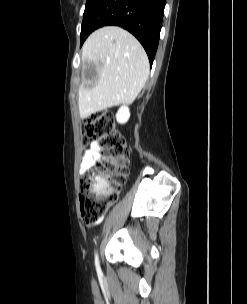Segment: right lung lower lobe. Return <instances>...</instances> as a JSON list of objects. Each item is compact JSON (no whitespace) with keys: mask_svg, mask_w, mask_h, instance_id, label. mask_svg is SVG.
<instances>
[{"mask_svg":"<svg viewBox=\"0 0 247 304\" xmlns=\"http://www.w3.org/2000/svg\"><path fill=\"white\" fill-rule=\"evenodd\" d=\"M166 0H99L83 18L81 45L87 36L102 26H120L143 45L152 65Z\"/></svg>","mask_w":247,"mask_h":304,"instance_id":"1","label":"right lung lower lobe"}]
</instances>
